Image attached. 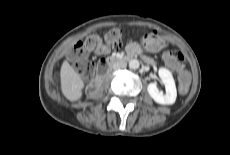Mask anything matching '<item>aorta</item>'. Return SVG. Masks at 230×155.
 <instances>
[{
	"mask_svg": "<svg viewBox=\"0 0 230 155\" xmlns=\"http://www.w3.org/2000/svg\"><path fill=\"white\" fill-rule=\"evenodd\" d=\"M139 66H140V63L137 59H132L129 61V68L130 69L136 70L139 68Z\"/></svg>",
	"mask_w": 230,
	"mask_h": 155,
	"instance_id": "aorta-1",
	"label": "aorta"
}]
</instances>
